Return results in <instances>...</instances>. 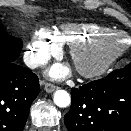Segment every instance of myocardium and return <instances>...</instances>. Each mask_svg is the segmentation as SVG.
<instances>
[{"instance_id": "1", "label": "myocardium", "mask_w": 131, "mask_h": 131, "mask_svg": "<svg viewBox=\"0 0 131 131\" xmlns=\"http://www.w3.org/2000/svg\"><path fill=\"white\" fill-rule=\"evenodd\" d=\"M114 38H123L126 40L127 35L120 31L112 30V31L97 34L91 38L78 41L70 45L69 56L73 64L75 65L77 72L81 76L86 78H93L101 75L107 69H109L119 57H121L126 52V50L129 48V43L125 41L121 47L111 52L104 60L98 62L94 66L83 67L77 65L76 58L79 54L95 50L99 48L102 44H104L106 41Z\"/></svg>"}]
</instances>
